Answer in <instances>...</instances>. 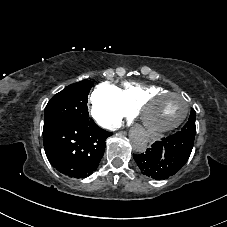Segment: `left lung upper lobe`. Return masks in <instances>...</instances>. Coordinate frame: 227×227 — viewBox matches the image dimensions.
Here are the masks:
<instances>
[{"mask_svg": "<svg viewBox=\"0 0 227 227\" xmlns=\"http://www.w3.org/2000/svg\"><path fill=\"white\" fill-rule=\"evenodd\" d=\"M195 119H196V112L194 109H191L189 120L179 132L195 135L196 134Z\"/></svg>", "mask_w": 227, "mask_h": 227, "instance_id": "1", "label": "left lung upper lobe"}]
</instances>
